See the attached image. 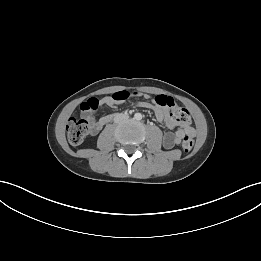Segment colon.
I'll list each match as a JSON object with an SVG mask.
<instances>
[{
  "instance_id": "colon-1",
  "label": "colon",
  "mask_w": 261,
  "mask_h": 261,
  "mask_svg": "<svg viewBox=\"0 0 261 261\" xmlns=\"http://www.w3.org/2000/svg\"><path fill=\"white\" fill-rule=\"evenodd\" d=\"M137 93H130L128 91H119L111 95L109 98L113 102L121 103L128 100L130 97L137 96ZM157 104L162 107L171 108V117L180 123H188L190 121V115L187 109L179 106H175L174 100L171 97L164 95H158L155 98ZM102 99L90 98L81 104V111L84 116L80 119L71 118L67 124V137L71 144H81L90 130L89 116L90 113L96 110ZM194 140L192 136H186L182 142V149L185 154H189L193 148Z\"/></svg>"
}]
</instances>
